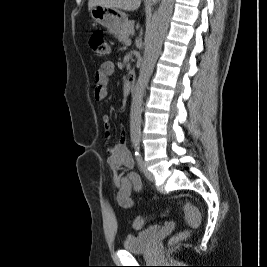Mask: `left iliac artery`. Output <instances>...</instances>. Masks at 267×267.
<instances>
[{
  "label": "left iliac artery",
  "instance_id": "left-iliac-artery-1",
  "mask_svg": "<svg viewBox=\"0 0 267 267\" xmlns=\"http://www.w3.org/2000/svg\"><path fill=\"white\" fill-rule=\"evenodd\" d=\"M135 158L137 161V164L141 167L142 164V157H141V153H140V147H139V142H135Z\"/></svg>",
  "mask_w": 267,
  "mask_h": 267
}]
</instances>
